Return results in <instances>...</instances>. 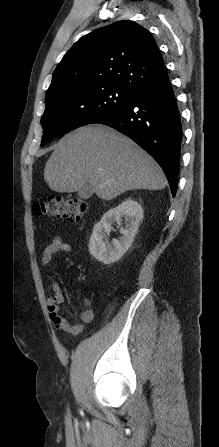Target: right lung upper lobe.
<instances>
[{
  "instance_id": "cb5924a9",
  "label": "right lung upper lobe",
  "mask_w": 219,
  "mask_h": 447,
  "mask_svg": "<svg viewBox=\"0 0 219 447\" xmlns=\"http://www.w3.org/2000/svg\"><path fill=\"white\" fill-rule=\"evenodd\" d=\"M168 77L151 33L131 21H119L80 38L56 67L47 94L85 92L102 85L132 94Z\"/></svg>"
}]
</instances>
